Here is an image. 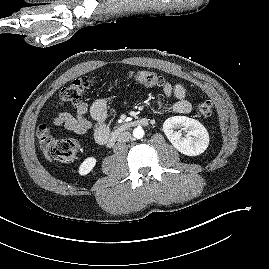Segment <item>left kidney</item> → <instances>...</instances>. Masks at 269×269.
<instances>
[{"label":"left kidney","mask_w":269,"mask_h":269,"mask_svg":"<svg viewBox=\"0 0 269 269\" xmlns=\"http://www.w3.org/2000/svg\"><path fill=\"white\" fill-rule=\"evenodd\" d=\"M179 127L185 130V136H182L181 131H174ZM163 131L171 144L187 156H197L209 145L207 129L199 121L186 116H173L166 119Z\"/></svg>","instance_id":"1"}]
</instances>
